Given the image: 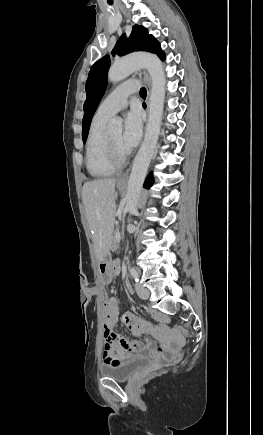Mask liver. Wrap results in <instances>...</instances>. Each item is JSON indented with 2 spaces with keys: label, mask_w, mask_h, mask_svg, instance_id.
Returning a JSON list of instances; mask_svg holds the SVG:
<instances>
[{
  "label": "liver",
  "mask_w": 263,
  "mask_h": 435,
  "mask_svg": "<svg viewBox=\"0 0 263 435\" xmlns=\"http://www.w3.org/2000/svg\"><path fill=\"white\" fill-rule=\"evenodd\" d=\"M115 184V178L98 179L86 182L82 189V201L98 259L108 252L112 241L117 198Z\"/></svg>",
  "instance_id": "6515ba94"
}]
</instances>
